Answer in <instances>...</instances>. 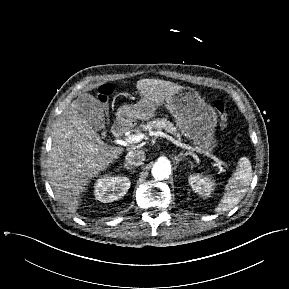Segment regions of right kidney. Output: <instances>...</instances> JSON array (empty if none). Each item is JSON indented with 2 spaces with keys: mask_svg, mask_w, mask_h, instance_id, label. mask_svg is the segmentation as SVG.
Returning <instances> with one entry per match:
<instances>
[{
  "mask_svg": "<svg viewBox=\"0 0 289 289\" xmlns=\"http://www.w3.org/2000/svg\"><path fill=\"white\" fill-rule=\"evenodd\" d=\"M94 195L103 203L113 202L122 198L130 188V180L122 176H104L97 180Z\"/></svg>",
  "mask_w": 289,
  "mask_h": 289,
  "instance_id": "1",
  "label": "right kidney"
}]
</instances>
